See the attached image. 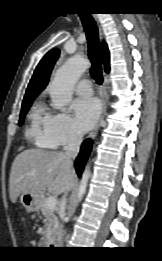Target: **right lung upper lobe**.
<instances>
[{
    "label": "right lung upper lobe",
    "instance_id": "right-lung-upper-lobe-1",
    "mask_svg": "<svg viewBox=\"0 0 162 261\" xmlns=\"http://www.w3.org/2000/svg\"><path fill=\"white\" fill-rule=\"evenodd\" d=\"M59 53L58 49H52L42 58L30 80L23 102L34 100L46 87L52 68L59 57ZM102 60L105 71L109 72V51L105 42H102Z\"/></svg>",
    "mask_w": 162,
    "mask_h": 261
}]
</instances>
